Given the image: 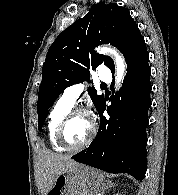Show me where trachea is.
Segmentation results:
<instances>
[{
    "mask_svg": "<svg viewBox=\"0 0 178 195\" xmlns=\"http://www.w3.org/2000/svg\"><path fill=\"white\" fill-rule=\"evenodd\" d=\"M101 87H102V88H105V87H106V85H105V84H101Z\"/></svg>",
    "mask_w": 178,
    "mask_h": 195,
    "instance_id": "3493384b",
    "label": "trachea"
}]
</instances>
